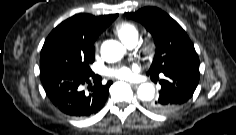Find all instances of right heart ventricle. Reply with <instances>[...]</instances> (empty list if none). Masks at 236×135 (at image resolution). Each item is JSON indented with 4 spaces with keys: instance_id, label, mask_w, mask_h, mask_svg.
Returning <instances> with one entry per match:
<instances>
[{
    "instance_id": "1",
    "label": "right heart ventricle",
    "mask_w": 236,
    "mask_h": 135,
    "mask_svg": "<svg viewBox=\"0 0 236 135\" xmlns=\"http://www.w3.org/2000/svg\"><path fill=\"white\" fill-rule=\"evenodd\" d=\"M113 31L116 36L126 45L133 41H138L139 30L138 27L132 22H120L114 26Z\"/></svg>"
}]
</instances>
